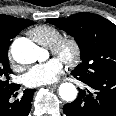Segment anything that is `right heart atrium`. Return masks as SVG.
<instances>
[{"instance_id": "obj_1", "label": "right heart atrium", "mask_w": 116, "mask_h": 116, "mask_svg": "<svg viewBox=\"0 0 116 116\" xmlns=\"http://www.w3.org/2000/svg\"><path fill=\"white\" fill-rule=\"evenodd\" d=\"M8 59H9L10 62H12L13 57H12L11 53H9V55H8Z\"/></svg>"}]
</instances>
